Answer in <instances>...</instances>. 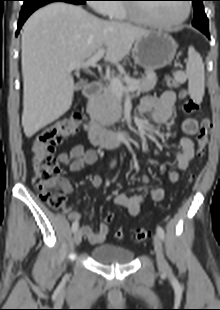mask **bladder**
Returning a JSON list of instances; mask_svg holds the SVG:
<instances>
[{
    "instance_id": "obj_1",
    "label": "bladder",
    "mask_w": 220,
    "mask_h": 310,
    "mask_svg": "<svg viewBox=\"0 0 220 310\" xmlns=\"http://www.w3.org/2000/svg\"><path fill=\"white\" fill-rule=\"evenodd\" d=\"M90 255L101 264H128L134 257L132 250L110 243L92 248Z\"/></svg>"
}]
</instances>
